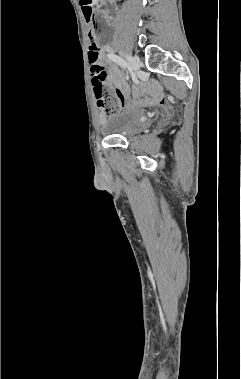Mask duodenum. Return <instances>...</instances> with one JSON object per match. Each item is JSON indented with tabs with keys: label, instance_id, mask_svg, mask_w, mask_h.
Here are the masks:
<instances>
[{
	"label": "duodenum",
	"instance_id": "duodenum-1",
	"mask_svg": "<svg viewBox=\"0 0 241 379\" xmlns=\"http://www.w3.org/2000/svg\"><path fill=\"white\" fill-rule=\"evenodd\" d=\"M97 1H99V2L102 3V4H106L107 1H109V0H97Z\"/></svg>",
	"mask_w": 241,
	"mask_h": 379
}]
</instances>
